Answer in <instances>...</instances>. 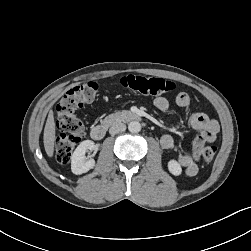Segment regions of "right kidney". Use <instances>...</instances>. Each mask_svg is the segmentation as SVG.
Returning a JSON list of instances; mask_svg holds the SVG:
<instances>
[{
    "mask_svg": "<svg viewBox=\"0 0 251 251\" xmlns=\"http://www.w3.org/2000/svg\"><path fill=\"white\" fill-rule=\"evenodd\" d=\"M95 148V143L91 140L81 142L71 156V170L74 174L80 175L88 172L95 166V160H86V152L92 151Z\"/></svg>",
    "mask_w": 251,
    "mask_h": 251,
    "instance_id": "ca27d5eb",
    "label": "right kidney"
}]
</instances>
